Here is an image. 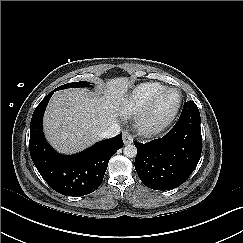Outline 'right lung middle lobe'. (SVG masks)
<instances>
[{
	"mask_svg": "<svg viewBox=\"0 0 243 243\" xmlns=\"http://www.w3.org/2000/svg\"><path fill=\"white\" fill-rule=\"evenodd\" d=\"M89 82L87 81H81V82H75V83H68L65 85H62L58 88L55 89L56 90H60V89H65V88H71V87H89Z\"/></svg>",
	"mask_w": 243,
	"mask_h": 243,
	"instance_id": "right-lung-middle-lobe-1",
	"label": "right lung middle lobe"
}]
</instances>
